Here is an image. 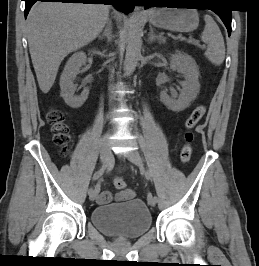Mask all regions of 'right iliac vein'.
<instances>
[{
	"mask_svg": "<svg viewBox=\"0 0 259 266\" xmlns=\"http://www.w3.org/2000/svg\"><path fill=\"white\" fill-rule=\"evenodd\" d=\"M111 158V151H110V147L108 144V135H106L103 139V143H102V147H101V152H100V159H101V163L103 166H105ZM98 195V191L95 189H92V191L89 193V198L90 200H95V198Z\"/></svg>",
	"mask_w": 259,
	"mask_h": 266,
	"instance_id": "1",
	"label": "right iliac vein"
}]
</instances>
